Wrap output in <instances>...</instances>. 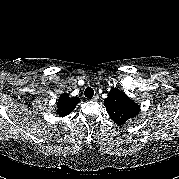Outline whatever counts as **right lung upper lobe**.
I'll list each match as a JSON object with an SVG mask.
<instances>
[{
    "mask_svg": "<svg viewBox=\"0 0 179 179\" xmlns=\"http://www.w3.org/2000/svg\"><path fill=\"white\" fill-rule=\"evenodd\" d=\"M80 102L79 97H70L69 94H62L57 102V113L60 116L70 114Z\"/></svg>",
    "mask_w": 179,
    "mask_h": 179,
    "instance_id": "obj_1",
    "label": "right lung upper lobe"
}]
</instances>
